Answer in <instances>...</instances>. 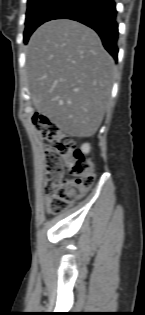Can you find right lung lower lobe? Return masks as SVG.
<instances>
[{
	"mask_svg": "<svg viewBox=\"0 0 145 315\" xmlns=\"http://www.w3.org/2000/svg\"><path fill=\"white\" fill-rule=\"evenodd\" d=\"M114 0H66L47 19H72L94 29L103 46L117 60L118 23ZM45 21V22H46Z\"/></svg>",
	"mask_w": 145,
	"mask_h": 315,
	"instance_id": "1",
	"label": "right lung lower lobe"
}]
</instances>
